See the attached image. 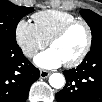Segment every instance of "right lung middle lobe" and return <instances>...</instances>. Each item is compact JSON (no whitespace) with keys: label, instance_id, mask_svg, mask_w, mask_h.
Here are the masks:
<instances>
[{"label":"right lung middle lobe","instance_id":"right-lung-middle-lobe-1","mask_svg":"<svg viewBox=\"0 0 102 102\" xmlns=\"http://www.w3.org/2000/svg\"><path fill=\"white\" fill-rule=\"evenodd\" d=\"M33 11L32 7L17 6L9 1H0V43L16 45L17 24L21 18Z\"/></svg>","mask_w":102,"mask_h":102}]
</instances>
